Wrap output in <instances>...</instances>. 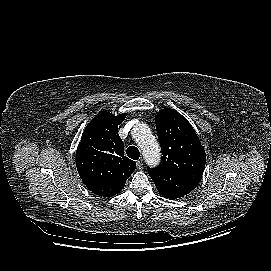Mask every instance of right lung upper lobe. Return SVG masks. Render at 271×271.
<instances>
[{"label":"right lung upper lobe","instance_id":"obj_1","mask_svg":"<svg viewBox=\"0 0 271 271\" xmlns=\"http://www.w3.org/2000/svg\"><path fill=\"white\" fill-rule=\"evenodd\" d=\"M125 116L99 112L87 125L76 151L77 170L87 187H114L105 197L123 189L136 168V162L124 155V143L118 135V125Z\"/></svg>","mask_w":271,"mask_h":271}]
</instances>
